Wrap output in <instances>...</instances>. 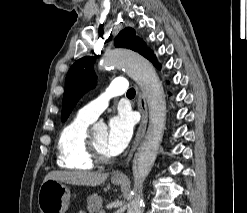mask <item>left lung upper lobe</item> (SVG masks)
<instances>
[{"label": "left lung upper lobe", "instance_id": "1", "mask_svg": "<svg viewBox=\"0 0 247 213\" xmlns=\"http://www.w3.org/2000/svg\"><path fill=\"white\" fill-rule=\"evenodd\" d=\"M114 42L115 47L134 50L153 62L156 59L153 52L147 48L146 44L136 35L135 30L132 28L122 30L116 36ZM94 62L95 57H83L77 60L70 68L65 80V92L62 102L61 120L63 122L68 118L84 93L95 86Z\"/></svg>", "mask_w": 247, "mask_h": 213}]
</instances>
